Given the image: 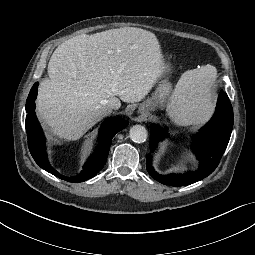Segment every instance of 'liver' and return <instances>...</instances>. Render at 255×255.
Segmentation results:
<instances>
[{
	"label": "liver",
	"mask_w": 255,
	"mask_h": 255,
	"mask_svg": "<svg viewBox=\"0 0 255 255\" xmlns=\"http://www.w3.org/2000/svg\"><path fill=\"white\" fill-rule=\"evenodd\" d=\"M47 72L37 112L55 136L77 140L111 113L110 98L141 101L162 75L163 59L154 33L124 27L63 42Z\"/></svg>",
	"instance_id": "6515ba94"
}]
</instances>
